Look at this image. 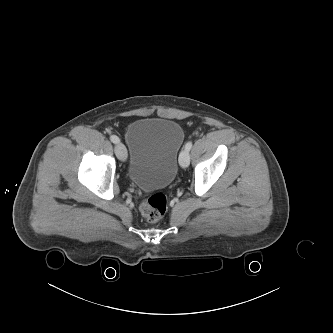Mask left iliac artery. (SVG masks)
I'll use <instances>...</instances> for the list:
<instances>
[{"label": "left iliac artery", "mask_w": 333, "mask_h": 333, "mask_svg": "<svg viewBox=\"0 0 333 333\" xmlns=\"http://www.w3.org/2000/svg\"><path fill=\"white\" fill-rule=\"evenodd\" d=\"M191 148H192V142L189 141V142L186 143L185 149L189 151Z\"/></svg>", "instance_id": "1"}]
</instances>
